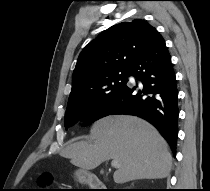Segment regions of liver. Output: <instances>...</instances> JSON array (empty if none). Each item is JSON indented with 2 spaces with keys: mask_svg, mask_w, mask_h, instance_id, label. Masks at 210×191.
<instances>
[{
  "mask_svg": "<svg viewBox=\"0 0 210 191\" xmlns=\"http://www.w3.org/2000/svg\"><path fill=\"white\" fill-rule=\"evenodd\" d=\"M90 133L92 142L71 143L60 155L84 170L116 159L119 167L113 178L118 184L168 176L172 166L169 146L148 122L134 116H108L95 122Z\"/></svg>",
  "mask_w": 210,
  "mask_h": 191,
  "instance_id": "liver-1",
  "label": "liver"
}]
</instances>
